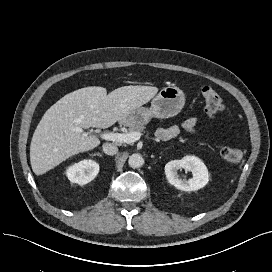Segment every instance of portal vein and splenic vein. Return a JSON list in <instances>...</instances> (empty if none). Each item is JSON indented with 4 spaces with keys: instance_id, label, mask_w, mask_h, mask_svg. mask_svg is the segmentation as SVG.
Returning a JSON list of instances; mask_svg holds the SVG:
<instances>
[{
    "instance_id": "portal-vein-and-splenic-vein-1",
    "label": "portal vein and splenic vein",
    "mask_w": 272,
    "mask_h": 272,
    "mask_svg": "<svg viewBox=\"0 0 272 272\" xmlns=\"http://www.w3.org/2000/svg\"><path fill=\"white\" fill-rule=\"evenodd\" d=\"M79 132H83L82 129H77ZM142 133L140 132H128V133H103L101 134V138L107 141L119 142V143H134L138 141L141 137Z\"/></svg>"
}]
</instances>
